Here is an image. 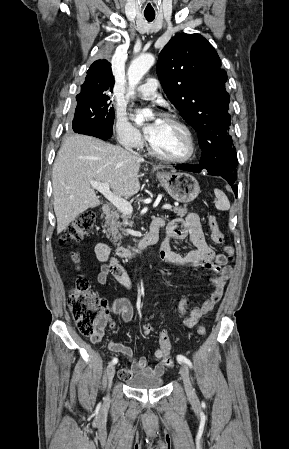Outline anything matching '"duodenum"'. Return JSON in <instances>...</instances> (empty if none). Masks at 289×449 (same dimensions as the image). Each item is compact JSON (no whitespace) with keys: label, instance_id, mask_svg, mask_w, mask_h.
<instances>
[{"label":"duodenum","instance_id":"obj_1","mask_svg":"<svg viewBox=\"0 0 289 449\" xmlns=\"http://www.w3.org/2000/svg\"><path fill=\"white\" fill-rule=\"evenodd\" d=\"M111 212L110 207L105 205L101 209V213L103 216L109 215ZM159 224L151 225L149 231L145 234L144 237L139 239L134 245L131 247H119L117 248V254L122 258H133L137 256L142 250H144L147 246L153 245L158 241L159 238Z\"/></svg>","mask_w":289,"mask_h":449}]
</instances>
